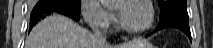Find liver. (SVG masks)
I'll list each match as a JSON object with an SVG mask.
<instances>
[{
    "instance_id": "1",
    "label": "liver",
    "mask_w": 213,
    "mask_h": 48,
    "mask_svg": "<svg viewBox=\"0 0 213 48\" xmlns=\"http://www.w3.org/2000/svg\"><path fill=\"white\" fill-rule=\"evenodd\" d=\"M148 44L145 40H134L117 47L101 44L88 30L68 17L54 14L31 30L25 48H136Z\"/></svg>"
}]
</instances>
